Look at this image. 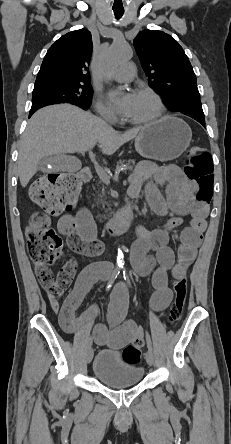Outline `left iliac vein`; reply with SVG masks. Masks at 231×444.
<instances>
[{
  "label": "left iliac vein",
  "mask_w": 231,
  "mask_h": 444,
  "mask_svg": "<svg viewBox=\"0 0 231 444\" xmlns=\"http://www.w3.org/2000/svg\"><path fill=\"white\" fill-rule=\"evenodd\" d=\"M146 357V361L149 365H153L154 364V354L152 350H149L146 352L145 354Z\"/></svg>",
  "instance_id": "1"
}]
</instances>
